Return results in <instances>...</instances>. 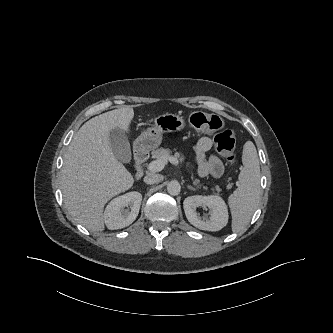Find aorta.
<instances>
[{
    "label": "aorta",
    "mask_w": 333,
    "mask_h": 333,
    "mask_svg": "<svg viewBox=\"0 0 333 333\" xmlns=\"http://www.w3.org/2000/svg\"><path fill=\"white\" fill-rule=\"evenodd\" d=\"M167 191L171 195H178L181 191V186L177 181H171L167 185Z\"/></svg>",
    "instance_id": "obj_1"
}]
</instances>
